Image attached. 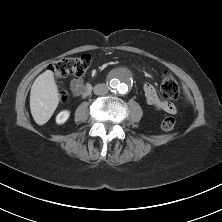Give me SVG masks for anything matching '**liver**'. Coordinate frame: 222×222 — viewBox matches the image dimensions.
Segmentation results:
<instances>
[{
  "mask_svg": "<svg viewBox=\"0 0 222 222\" xmlns=\"http://www.w3.org/2000/svg\"><path fill=\"white\" fill-rule=\"evenodd\" d=\"M59 104L54 74L46 70L34 81L30 93V110L34 121L43 125L51 118Z\"/></svg>",
  "mask_w": 222,
  "mask_h": 222,
  "instance_id": "1",
  "label": "liver"
}]
</instances>
